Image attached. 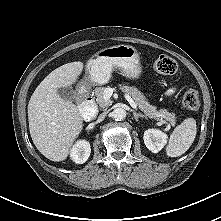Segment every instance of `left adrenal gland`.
I'll list each match as a JSON object with an SVG mask.
<instances>
[{"mask_svg": "<svg viewBox=\"0 0 221 221\" xmlns=\"http://www.w3.org/2000/svg\"><path fill=\"white\" fill-rule=\"evenodd\" d=\"M133 115H134L135 121H138L139 118H146L145 115L140 114V113H136V112H133Z\"/></svg>", "mask_w": 221, "mask_h": 221, "instance_id": "1", "label": "left adrenal gland"}]
</instances>
